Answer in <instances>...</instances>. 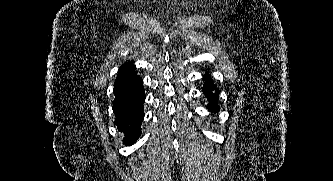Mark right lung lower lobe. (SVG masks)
Returning a JSON list of instances; mask_svg holds the SVG:
<instances>
[{
  "instance_id": "obj_1",
  "label": "right lung lower lobe",
  "mask_w": 333,
  "mask_h": 181,
  "mask_svg": "<svg viewBox=\"0 0 333 181\" xmlns=\"http://www.w3.org/2000/svg\"><path fill=\"white\" fill-rule=\"evenodd\" d=\"M113 112L117 129L125 134L123 143L131 145L141 135L140 125L144 118L145 92L140 76H135L114 86Z\"/></svg>"
}]
</instances>
